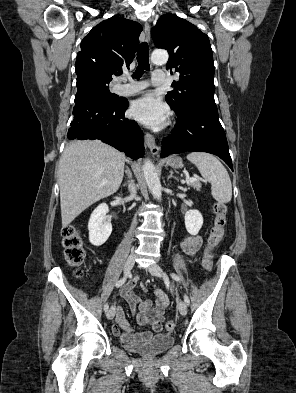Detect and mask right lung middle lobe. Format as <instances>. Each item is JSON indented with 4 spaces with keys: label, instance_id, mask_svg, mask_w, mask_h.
Instances as JSON below:
<instances>
[{
    "label": "right lung middle lobe",
    "instance_id": "dd1d6c3e",
    "mask_svg": "<svg viewBox=\"0 0 296 393\" xmlns=\"http://www.w3.org/2000/svg\"><path fill=\"white\" fill-rule=\"evenodd\" d=\"M87 79L108 99L110 102H118L120 98L109 91V82L100 80L95 77H87Z\"/></svg>",
    "mask_w": 296,
    "mask_h": 393
}]
</instances>
